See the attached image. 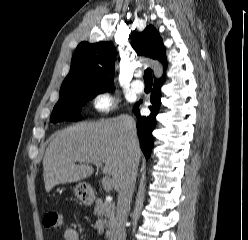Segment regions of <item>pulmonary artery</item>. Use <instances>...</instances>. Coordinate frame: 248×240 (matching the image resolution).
Wrapping results in <instances>:
<instances>
[{
  "mask_svg": "<svg viewBox=\"0 0 248 240\" xmlns=\"http://www.w3.org/2000/svg\"><path fill=\"white\" fill-rule=\"evenodd\" d=\"M140 74H137V78L133 81L132 83V89L137 92L141 93L144 90V84L143 82L139 79Z\"/></svg>",
  "mask_w": 248,
  "mask_h": 240,
  "instance_id": "obj_1",
  "label": "pulmonary artery"
}]
</instances>
